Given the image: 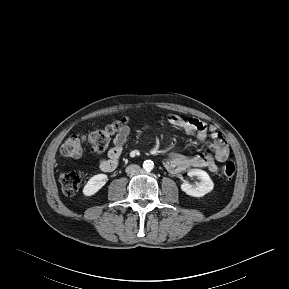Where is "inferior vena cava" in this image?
I'll list each match as a JSON object with an SVG mask.
<instances>
[{"label":"inferior vena cava","mask_w":289,"mask_h":289,"mask_svg":"<svg viewBox=\"0 0 289 289\" xmlns=\"http://www.w3.org/2000/svg\"><path fill=\"white\" fill-rule=\"evenodd\" d=\"M125 171L127 174H136L141 171V168L139 165L132 164V165H129Z\"/></svg>","instance_id":"1"}]
</instances>
